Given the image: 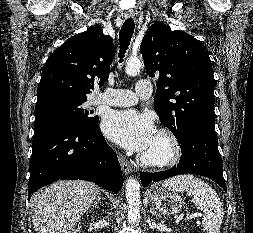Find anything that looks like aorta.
Returning <instances> with one entry per match:
<instances>
[{"label": "aorta", "mask_w": 253, "mask_h": 233, "mask_svg": "<svg viewBox=\"0 0 253 233\" xmlns=\"http://www.w3.org/2000/svg\"><path fill=\"white\" fill-rule=\"evenodd\" d=\"M142 62L138 58H131L127 61L125 71L128 76H136L139 74ZM140 184L134 178H129L126 182L125 195L128 204V221L136 222L139 217V209L141 206Z\"/></svg>", "instance_id": "1"}]
</instances>
